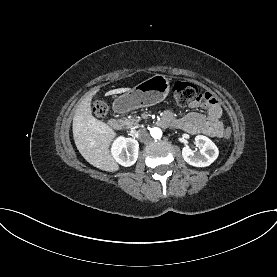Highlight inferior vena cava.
Returning <instances> with one entry per match:
<instances>
[{
    "label": "inferior vena cava",
    "mask_w": 277,
    "mask_h": 277,
    "mask_svg": "<svg viewBox=\"0 0 277 277\" xmlns=\"http://www.w3.org/2000/svg\"><path fill=\"white\" fill-rule=\"evenodd\" d=\"M137 139L140 142H147L150 139V135L145 129H141L137 131Z\"/></svg>",
    "instance_id": "1"
}]
</instances>
